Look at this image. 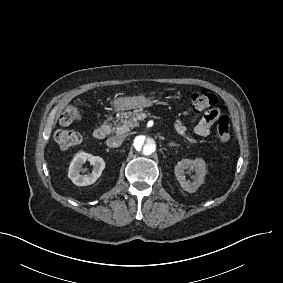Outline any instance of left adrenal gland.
I'll list each match as a JSON object with an SVG mask.
<instances>
[{"instance_id": "a2214340", "label": "left adrenal gland", "mask_w": 283, "mask_h": 283, "mask_svg": "<svg viewBox=\"0 0 283 283\" xmlns=\"http://www.w3.org/2000/svg\"><path fill=\"white\" fill-rule=\"evenodd\" d=\"M169 146H179V144H177V143H175V142H171V143L169 144Z\"/></svg>"}]
</instances>
